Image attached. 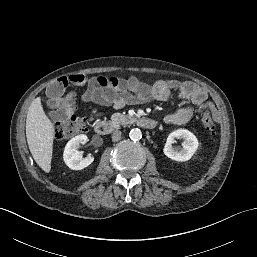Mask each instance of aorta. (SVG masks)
I'll return each instance as SVG.
<instances>
[{
    "instance_id": "762f6f07",
    "label": "aorta",
    "mask_w": 257,
    "mask_h": 257,
    "mask_svg": "<svg viewBox=\"0 0 257 257\" xmlns=\"http://www.w3.org/2000/svg\"><path fill=\"white\" fill-rule=\"evenodd\" d=\"M129 137L134 141L140 140L142 138V132L138 128H133L130 130Z\"/></svg>"
}]
</instances>
